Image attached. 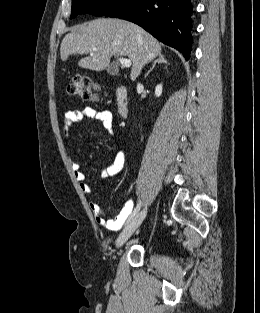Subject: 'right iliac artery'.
<instances>
[{"label":"right iliac artery","instance_id":"82829eb1","mask_svg":"<svg viewBox=\"0 0 260 313\" xmlns=\"http://www.w3.org/2000/svg\"><path fill=\"white\" fill-rule=\"evenodd\" d=\"M140 208H141V202H139V203L137 204V206H136V208L134 209V211H133V213H132L130 219H132V218L139 212ZM130 219H129V221H130ZM129 221H128V222H129Z\"/></svg>","mask_w":260,"mask_h":313}]
</instances>
